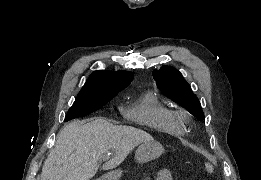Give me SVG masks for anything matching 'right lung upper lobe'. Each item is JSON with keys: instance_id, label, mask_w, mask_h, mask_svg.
Returning <instances> with one entry per match:
<instances>
[{"instance_id": "1", "label": "right lung upper lobe", "mask_w": 261, "mask_h": 180, "mask_svg": "<svg viewBox=\"0 0 261 180\" xmlns=\"http://www.w3.org/2000/svg\"><path fill=\"white\" fill-rule=\"evenodd\" d=\"M134 75L126 71L99 70L92 73L78 95L115 96L133 80Z\"/></svg>"}]
</instances>
